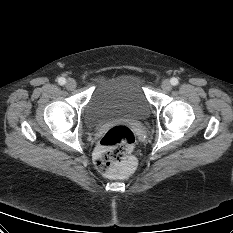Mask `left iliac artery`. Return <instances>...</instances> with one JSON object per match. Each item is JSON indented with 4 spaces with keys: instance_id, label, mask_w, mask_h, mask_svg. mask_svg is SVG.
I'll return each instance as SVG.
<instances>
[{
    "instance_id": "obj_1",
    "label": "left iliac artery",
    "mask_w": 233,
    "mask_h": 233,
    "mask_svg": "<svg viewBox=\"0 0 233 233\" xmlns=\"http://www.w3.org/2000/svg\"><path fill=\"white\" fill-rule=\"evenodd\" d=\"M170 82H171V84H172L173 86H176V85L179 83V82H178V79L175 78V77L171 78Z\"/></svg>"
}]
</instances>
